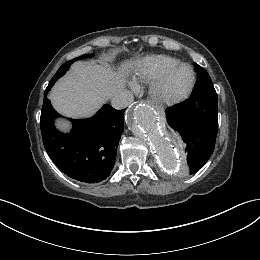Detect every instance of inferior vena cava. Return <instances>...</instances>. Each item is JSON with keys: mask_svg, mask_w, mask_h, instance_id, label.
Returning a JSON list of instances; mask_svg holds the SVG:
<instances>
[{"mask_svg": "<svg viewBox=\"0 0 260 260\" xmlns=\"http://www.w3.org/2000/svg\"><path fill=\"white\" fill-rule=\"evenodd\" d=\"M134 100L132 92L129 90H120L115 93L111 99V105L115 109H124L129 106Z\"/></svg>", "mask_w": 260, "mask_h": 260, "instance_id": "obj_1", "label": "inferior vena cava"}]
</instances>
